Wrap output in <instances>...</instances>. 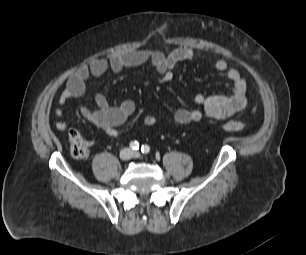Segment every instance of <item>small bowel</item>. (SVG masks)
Here are the masks:
<instances>
[{
    "mask_svg": "<svg viewBox=\"0 0 306 255\" xmlns=\"http://www.w3.org/2000/svg\"><path fill=\"white\" fill-rule=\"evenodd\" d=\"M195 53L187 46H180L165 54L156 50H132L111 55L108 59L98 58L88 65L79 67L68 79L65 89L59 97L60 108L57 110L59 120L55 126L58 130L67 128L63 119L62 107L70 99L81 98L85 93L86 81L90 76L100 77L108 70L119 72L125 68L148 64L157 73V80L165 83L173 78L176 66L184 61L193 59ZM214 69L226 76L231 83L229 94L206 96L198 93L194 96V103L198 106L192 109H179L174 113V120L182 125L199 122L203 115L213 119L224 120L245 108L248 102L247 84L237 69L230 68L227 61L218 59ZM135 111V103L126 99L118 105L111 106L103 94L95 97V105L83 104L80 107L82 116L91 124L101 129L110 137L119 135L117 127L125 123ZM156 117L148 115L144 124L148 127L155 125Z\"/></svg>",
    "mask_w": 306,
    "mask_h": 255,
    "instance_id": "1",
    "label": "small bowel"
}]
</instances>
